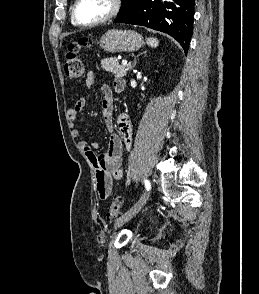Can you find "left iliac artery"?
Instances as JSON below:
<instances>
[{"label": "left iliac artery", "mask_w": 259, "mask_h": 294, "mask_svg": "<svg viewBox=\"0 0 259 294\" xmlns=\"http://www.w3.org/2000/svg\"><path fill=\"white\" fill-rule=\"evenodd\" d=\"M144 184H145V188H146V190H150V188H151V184H150V182L148 181V180H144Z\"/></svg>", "instance_id": "left-iliac-artery-1"}]
</instances>
